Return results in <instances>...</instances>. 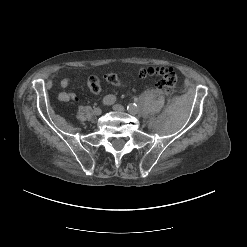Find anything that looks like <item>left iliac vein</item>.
Returning <instances> with one entry per match:
<instances>
[{
    "instance_id": "obj_1",
    "label": "left iliac vein",
    "mask_w": 247,
    "mask_h": 247,
    "mask_svg": "<svg viewBox=\"0 0 247 247\" xmlns=\"http://www.w3.org/2000/svg\"><path fill=\"white\" fill-rule=\"evenodd\" d=\"M113 109L115 111H124L125 110V108L122 105H120V104L113 105Z\"/></svg>"
}]
</instances>
